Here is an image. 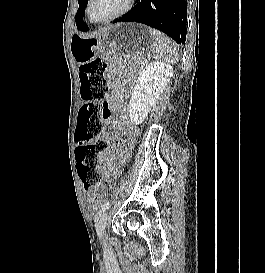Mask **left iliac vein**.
I'll use <instances>...</instances> for the list:
<instances>
[{
    "label": "left iliac vein",
    "instance_id": "left-iliac-vein-1",
    "mask_svg": "<svg viewBox=\"0 0 265 273\" xmlns=\"http://www.w3.org/2000/svg\"><path fill=\"white\" fill-rule=\"evenodd\" d=\"M108 218H109L108 213L107 212L104 213L101 216V218H100V220H99V222L97 224V227H96L98 237L102 242H105V228H106Z\"/></svg>",
    "mask_w": 265,
    "mask_h": 273
}]
</instances>
